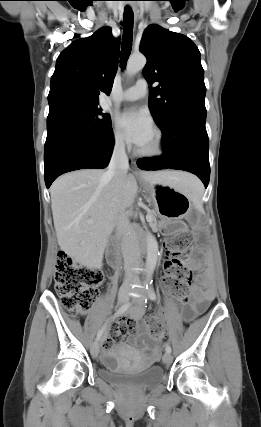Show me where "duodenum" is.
<instances>
[{
  "instance_id": "obj_1",
  "label": "duodenum",
  "mask_w": 261,
  "mask_h": 427,
  "mask_svg": "<svg viewBox=\"0 0 261 427\" xmlns=\"http://www.w3.org/2000/svg\"><path fill=\"white\" fill-rule=\"evenodd\" d=\"M120 241L118 238H112L111 246L108 253V262L111 267L117 268L120 266L121 257L119 253Z\"/></svg>"
}]
</instances>
